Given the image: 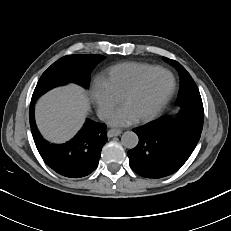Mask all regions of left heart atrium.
<instances>
[{"mask_svg": "<svg viewBox=\"0 0 231 231\" xmlns=\"http://www.w3.org/2000/svg\"><path fill=\"white\" fill-rule=\"evenodd\" d=\"M137 120V117L132 110L124 105L118 109L111 117L110 123L114 126H125L129 125Z\"/></svg>", "mask_w": 231, "mask_h": 231, "instance_id": "1", "label": "left heart atrium"}]
</instances>
